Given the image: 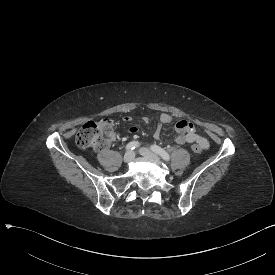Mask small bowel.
<instances>
[{
	"label": "small bowel",
	"instance_id": "c3829d8e",
	"mask_svg": "<svg viewBox=\"0 0 275 275\" xmlns=\"http://www.w3.org/2000/svg\"><path fill=\"white\" fill-rule=\"evenodd\" d=\"M124 122L131 121V116L124 115ZM172 121V117L169 114H162L159 118L158 125L156 126L153 136L156 139H160L162 136V126L170 123ZM175 129L177 131V135L174 138V143L177 145H184L188 143L195 142H203L206 144V148L208 147V141L197 134L195 125L186 119H181L176 122ZM130 135H136L138 133V128L136 126H131L128 130Z\"/></svg>",
	"mask_w": 275,
	"mask_h": 275
}]
</instances>
